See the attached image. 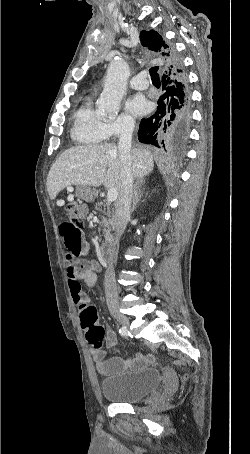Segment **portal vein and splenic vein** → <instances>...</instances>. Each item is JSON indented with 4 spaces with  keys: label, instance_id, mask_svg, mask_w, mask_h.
I'll use <instances>...</instances> for the list:
<instances>
[{
    "label": "portal vein and splenic vein",
    "instance_id": "1",
    "mask_svg": "<svg viewBox=\"0 0 250 454\" xmlns=\"http://www.w3.org/2000/svg\"><path fill=\"white\" fill-rule=\"evenodd\" d=\"M118 197L117 191L115 189H109L107 193L108 202H114Z\"/></svg>",
    "mask_w": 250,
    "mask_h": 454
}]
</instances>
